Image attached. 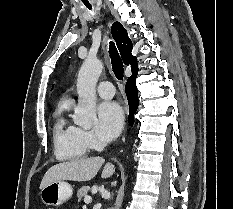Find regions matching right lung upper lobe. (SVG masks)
<instances>
[{
  "label": "right lung upper lobe",
  "instance_id": "cb5924a9",
  "mask_svg": "<svg viewBox=\"0 0 233 209\" xmlns=\"http://www.w3.org/2000/svg\"><path fill=\"white\" fill-rule=\"evenodd\" d=\"M112 36L117 44L121 57L126 65H131L132 76L136 75L138 72L137 59L132 56L131 51L133 45L128 37V34L124 27L119 22H114L111 27Z\"/></svg>",
  "mask_w": 233,
  "mask_h": 209
}]
</instances>
